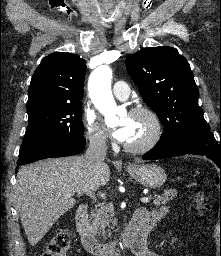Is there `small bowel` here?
Instances as JSON below:
<instances>
[{"mask_svg": "<svg viewBox=\"0 0 221 256\" xmlns=\"http://www.w3.org/2000/svg\"><path fill=\"white\" fill-rule=\"evenodd\" d=\"M145 211V210H144ZM146 212V211H145ZM166 210L147 213V220L145 222L146 233L139 239L134 245H132V251L135 256H163L154 251H150L146 245L147 233L158 223L165 215Z\"/></svg>", "mask_w": 221, "mask_h": 256, "instance_id": "small-bowel-1", "label": "small bowel"}]
</instances>
